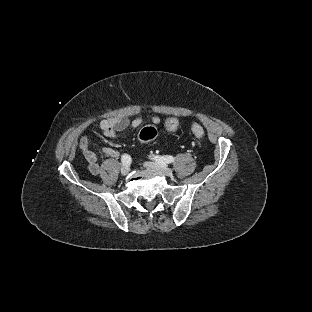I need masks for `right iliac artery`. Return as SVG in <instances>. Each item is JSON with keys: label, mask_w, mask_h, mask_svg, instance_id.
<instances>
[{"label": "right iliac artery", "mask_w": 312, "mask_h": 312, "mask_svg": "<svg viewBox=\"0 0 312 312\" xmlns=\"http://www.w3.org/2000/svg\"><path fill=\"white\" fill-rule=\"evenodd\" d=\"M121 161H122L123 165L129 166L131 164L132 160H131V157L128 154H124L121 157Z\"/></svg>", "instance_id": "1"}]
</instances>
